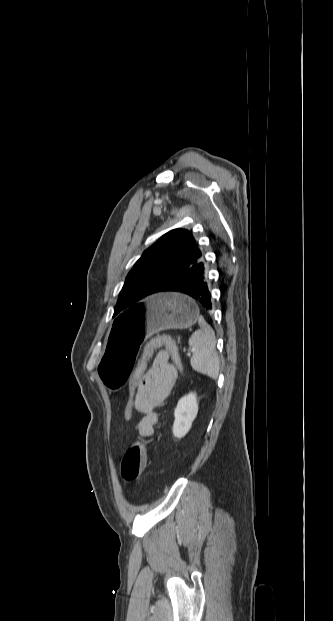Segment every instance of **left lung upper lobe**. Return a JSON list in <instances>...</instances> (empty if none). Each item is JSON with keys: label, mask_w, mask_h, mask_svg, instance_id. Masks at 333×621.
I'll list each match as a JSON object with an SVG mask.
<instances>
[{"label": "left lung upper lobe", "mask_w": 333, "mask_h": 621, "mask_svg": "<svg viewBox=\"0 0 333 621\" xmlns=\"http://www.w3.org/2000/svg\"><path fill=\"white\" fill-rule=\"evenodd\" d=\"M204 259L192 233L174 229L160 237L135 263L126 277L114 315L138 305L175 276Z\"/></svg>", "instance_id": "obj_1"}]
</instances>
